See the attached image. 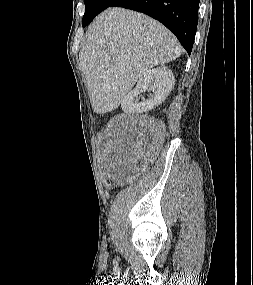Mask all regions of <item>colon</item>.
Instances as JSON below:
<instances>
[{
  "mask_svg": "<svg viewBox=\"0 0 253 285\" xmlns=\"http://www.w3.org/2000/svg\"><path fill=\"white\" fill-rule=\"evenodd\" d=\"M97 144L99 145V150L96 151V157L99 167H96V172H100L103 180L109 182L110 180H114V175H110L109 171V162L110 159L108 155L110 154L111 144L105 140V136L103 132L97 133Z\"/></svg>",
  "mask_w": 253,
  "mask_h": 285,
  "instance_id": "5ec220e1",
  "label": "colon"
}]
</instances>
